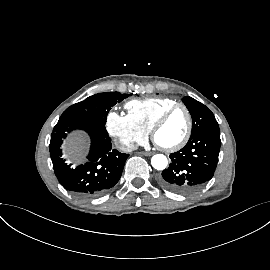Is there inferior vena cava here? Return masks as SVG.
I'll use <instances>...</instances> for the list:
<instances>
[{"label":"inferior vena cava","mask_w":270,"mask_h":270,"mask_svg":"<svg viewBox=\"0 0 270 270\" xmlns=\"http://www.w3.org/2000/svg\"><path fill=\"white\" fill-rule=\"evenodd\" d=\"M115 146L118 150L122 151V152H131L133 150H136L137 149V146L132 144V143H122V142H119V141H116L115 142Z\"/></svg>","instance_id":"obj_1"}]
</instances>
